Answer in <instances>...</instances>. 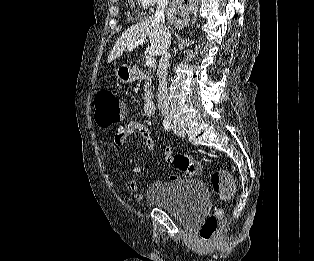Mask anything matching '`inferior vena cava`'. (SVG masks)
I'll return each instance as SVG.
<instances>
[{"label": "inferior vena cava", "instance_id": "inferior-vena-cava-1", "mask_svg": "<svg viewBox=\"0 0 314 261\" xmlns=\"http://www.w3.org/2000/svg\"><path fill=\"white\" fill-rule=\"evenodd\" d=\"M168 1L169 0H158L155 19L161 22V24H164L165 22L164 11L168 5ZM168 47L169 45H167V48L163 51L160 61H159V66L157 69V76L159 80L158 91H157V102H158V108L162 116L165 118L171 119L172 112L170 108L167 81H166L168 63L171 57L170 53L167 52Z\"/></svg>", "mask_w": 314, "mask_h": 261}]
</instances>
